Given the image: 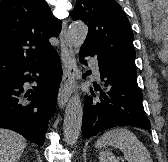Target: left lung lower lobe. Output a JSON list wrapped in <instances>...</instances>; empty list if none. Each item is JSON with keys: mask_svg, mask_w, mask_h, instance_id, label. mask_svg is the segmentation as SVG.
<instances>
[{"mask_svg": "<svg viewBox=\"0 0 168 162\" xmlns=\"http://www.w3.org/2000/svg\"><path fill=\"white\" fill-rule=\"evenodd\" d=\"M95 55L104 91L99 86H94L95 91H100L101 94L95 95L91 89L92 95L85 98L82 138L112 127L128 125L150 132L151 125L143 108V96L137 84L136 73L115 65L90 49H80L81 61L84 56Z\"/></svg>", "mask_w": 168, "mask_h": 162, "instance_id": "obj_1", "label": "left lung lower lobe"}]
</instances>
